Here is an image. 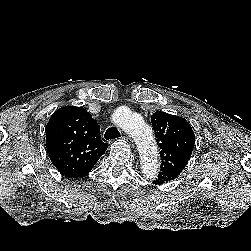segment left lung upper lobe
Returning a JSON list of instances; mask_svg holds the SVG:
<instances>
[{
    "mask_svg": "<svg viewBox=\"0 0 251 251\" xmlns=\"http://www.w3.org/2000/svg\"><path fill=\"white\" fill-rule=\"evenodd\" d=\"M151 122L161 149L158 179L164 183L177 178L187 165L195 135L190 124L179 116L157 111L152 115Z\"/></svg>",
    "mask_w": 251,
    "mask_h": 251,
    "instance_id": "5c2ea615",
    "label": "left lung upper lobe"
}]
</instances>
